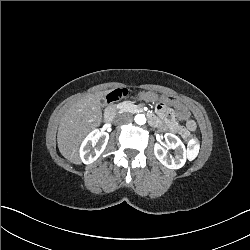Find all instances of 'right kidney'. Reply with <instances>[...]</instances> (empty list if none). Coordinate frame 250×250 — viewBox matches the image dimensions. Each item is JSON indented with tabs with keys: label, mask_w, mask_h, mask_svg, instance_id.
<instances>
[{
	"label": "right kidney",
	"mask_w": 250,
	"mask_h": 250,
	"mask_svg": "<svg viewBox=\"0 0 250 250\" xmlns=\"http://www.w3.org/2000/svg\"><path fill=\"white\" fill-rule=\"evenodd\" d=\"M109 140L107 132L94 130L83 140L80 146V158L84 164H91L103 153ZM91 145L94 150L91 151Z\"/></svg>",
	"instance_id": "1"
}]
</instances>
